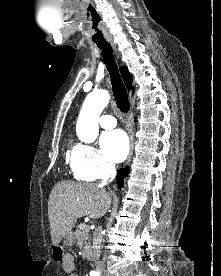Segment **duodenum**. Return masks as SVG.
Segmentation results:
<instances>
[{"label":"duodenum","mask_w":221,"mask_h":276,"mask_svg":"<svg viewBox=\"0 0 221 276\" xmlns=\"http://www.w3.org/2000/svg\"><path fill=\"white\" fill-rule=\"evenodd\" d=\"M87 255H88V256L91 255V250H90V249L87 250Z\"/></svg>","instance_id":"1"}]
</instances>
